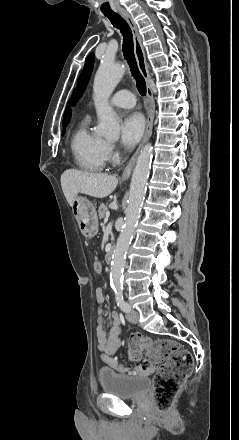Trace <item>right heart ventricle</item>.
Listing matches in <instances>:
<instances>
[{
    "label": "right heart ventricle",
    "instance_id": "right-heart-ventricle-1",
    "mask_svg": "<svg viewBox=\"0 0 239 440\" xmlns=\"http://www.w3.org/2000/svg\"><path fill=\"white\" fill-rule=\"evenodd\" d=\"M103 145V139L91 133L85 124L80 125L70 138V151L75 165L89 172L102 171L107 161Z\"/></svg>",
    "mask_w": 239,
    "mask_h": 440
}]
</instances>
